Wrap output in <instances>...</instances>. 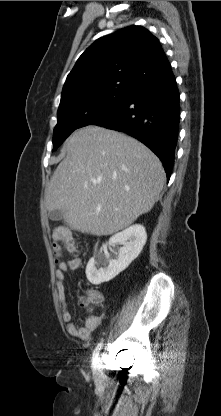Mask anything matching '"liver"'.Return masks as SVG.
Segmentation results:
<instances>
[{"mask_svg": "<svg viewBox=\"0 0 221 416\" xmlns=\"http://www.w3.org/2000/svg\"><path fill=\"white\" fill-rule=\"evenodd\" d=\"M66 157L45 189L48 211L72 230L110 235L149 212L165 183L159 158L121 132L89 125L66 142Z\"/></svg>", "mask_w": 221, "mask_h": 416, "instance_id": "liver-1", "label": "liver"}]
</instances>
